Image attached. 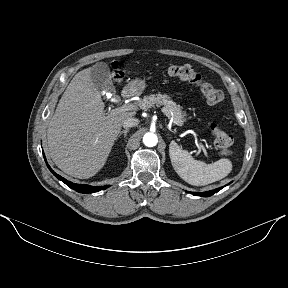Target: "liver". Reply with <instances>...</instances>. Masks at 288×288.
I'll return each mask as SVG.
<instances>
[{"label":"liver","instance_id":"6515ba94","mask_svg":"<svg viewBox=\"0 0 288 288\" xmlns=\"http://www.w3.org/2000/svg\"><path fill=\"white\" fill-rule=\"evenodd\" d=\"M91 67L78 72L63 93L48 129V149L65 173L88 179L105 164L123 122L135 112L107 114L91 79Z\"/></svg>","mask_w":288,"mask_h":288}]
</instances>
